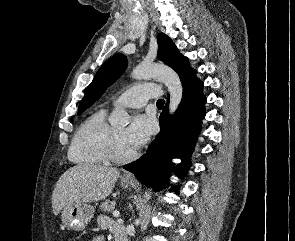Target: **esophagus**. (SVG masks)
<instances>
[{
  "mask_svg": "<svg viewBox=\"0 0 295 241\" xmlns=\"http://www.w3.org/2000/svg\"><path fill=\"white\" fill-rule=\"evenodd\" d=\"M123 178L124 179H133V175L130 174V173H126V174L123 175Z\"/></svg>",
  "mask_w": 295,
  "mask_h": 241,
  "instance_id": "obj_1",
  "label": "esophagus"
}]
</instances>
